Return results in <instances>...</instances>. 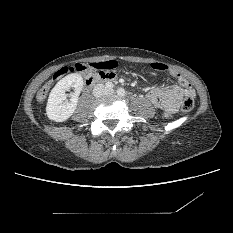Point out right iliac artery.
<instances>
[{"instance_id":"obj_1","label":"right iliac artery","mask_w":233,"mask_h":233,"mask_svg":"<svg viewBox=\"0 0 233 233\" xmlns=\"http://www.w3.org/2000/svg\"><path fill=\"white\" fill-rule=\"evenodd\" d=\"M113 87H114V85L111 82L106 83V88L107 89H112Z\"/></svg>"}]
</instances>
